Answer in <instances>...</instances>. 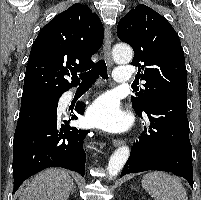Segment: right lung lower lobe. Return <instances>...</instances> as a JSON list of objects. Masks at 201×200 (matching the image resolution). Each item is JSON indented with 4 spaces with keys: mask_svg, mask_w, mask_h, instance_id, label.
Listing matches in <instances>:
<instances>
[{
    "mask_svg": "<svg viewBox=\"0 0 201 200\" xmlns=\"http://www.w3.org/2000/svg\"><path fill=\"white\" fill-rule=\"evenodd\" d=\"M60 96L21 105L13 140V193L24 180L47 167H62L84 176L83 140L88 131L70 127L69 121H57ZM75 110L83 114L81 102Z\"/></svg>",
    "mask_w": 201,
    "mask_h": 200,
    "instance_id": "right-lung-lower-lobe-1",
    "label": "right lung lower lobe"
}]
</instances>
